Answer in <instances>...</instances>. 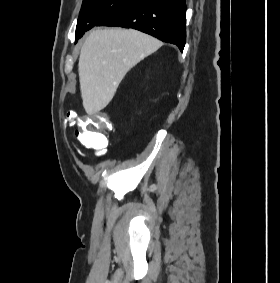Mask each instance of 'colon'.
I'll list each match as a JSON object with an SVG mask.
<instances>
[{
    "instance_id": "1",
    "label": "colon",
    "mask_w": 280,
    "mask_h": 283,
    "mask_svg": "<svg viewBox=\"0 0 280 283\" xmlns=\"http://www.w3.org/2000/svg\"><path fill=\"white\" fill-rule=\"evenodd\" d=\"M76 125L75 138L83 147L92 149L97 153L103 152L108 144L107 137L103 132H112L111 122H107L109 114L105 110H86L81 118H76L75 113L68 114ZM98 127L90 128L91 124Z\"/></svg>"
}]
</instances>
